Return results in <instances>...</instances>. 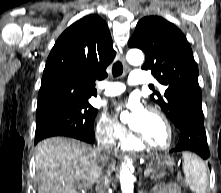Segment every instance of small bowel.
Listing matches in <instances>:
<instances>
[{
	"label": "small bowel",
	"mask_w": 221,
	"mask_h": 193,
	"mask_svg": "<svg viewBox=\"0 0 221 193\" xmlns=\"http://www.w3.org/2000/svg\"><path fill=\"white\" fill-rule=\"evenodd\" d=\"M152 193H181V191L177 185L169 184L155 188Z\"/></svg>",
	"instance_id": "small-bowel-1"
}]
</instances>
